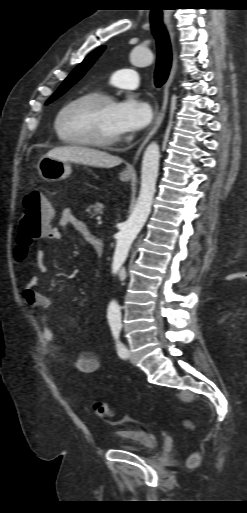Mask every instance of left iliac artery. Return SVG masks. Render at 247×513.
Instances as JSON below:
<instances>
[{"mask_svg": "<svg viewBox=\"0 0 247 513\" xmlns=\"http://www.w3.org/2000/svg\"><path fill=\"white\" fill-rule=\"evenodd\" d=\"M110 327H111L112 334H113V337L116 342L117 353L122 359H126L128 357V350H127L126 346L119 339L120 331L122 329L121 321L120 320L111 321Z\"/></svg>", "mask_w": 247, "mask_h": 513, "instance_id": "left-iliac-artery-1", "label": "left iliac artery"}]
</instances>
